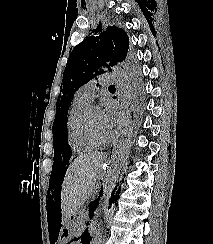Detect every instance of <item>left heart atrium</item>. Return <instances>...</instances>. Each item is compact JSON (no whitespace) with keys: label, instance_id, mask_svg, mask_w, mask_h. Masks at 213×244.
Segmentation results:
<instances>
[{"label":"left heart atrium","instance_id":"39dd6f15","mask_svg":"<svg viewBox=\"0 0 213 244\" xmlns=\"http://www.w3.org/2000/svg\"><path fill=\"white\" fill-rule=\"evenodd\" d=\"M102 123L105 128L112 133L116 122V112L113 103L106 102L104 108L101 110Z\"/></svg>","mask_w":213,"mask_h":244}]
</instances>
